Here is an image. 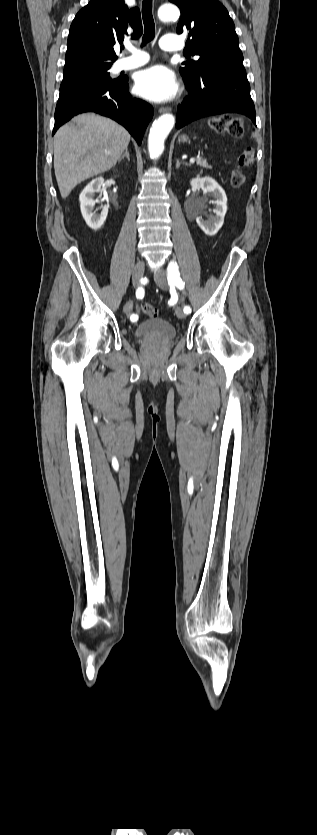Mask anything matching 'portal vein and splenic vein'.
Returning <instances> with one entry per match:
<instances>
[{
    "label": "portal vein and splenic vein",
    "instance_id": "1",
    "mask_svg": "<svg viewBox=\"0 0 317 835\" xmlns=\"http://www.w3.org/2000/svg\"><path fill=\"white\" fill-rule=\"evenodd\" d=\"M194 161H195V158L190 159V162H194Z\"/></svg>",
    "mask_w": 317,
    "mask_h": 835
}]
</instances>
